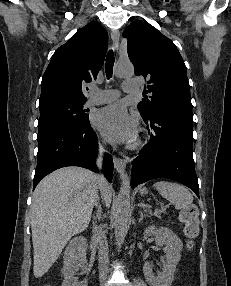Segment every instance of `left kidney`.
Here are the masks:
<instances>
[{
  "mask_svg": "<svg viewBox=\"0 0 231 286\" xmlns=\"http://www.w3.org/2000/svg\"><path fill=\"white\" fill-rule=\"evenodd\" d=\"M144 235L155 236V242L159 246L166 245L164 248L166 261L163 263L162 272L154 273L151 263L145 262L143 267L145 279L150 286H170L174 279L176 265L181 258L182 241L172 230L166 227L148 226Z\"/></svg>",
  "mask_w": 231,
  "mask_h": 286,
  "instance_id": "obj_1",
  "label": "left kidney"
}]
</instances>
